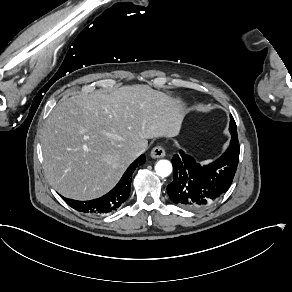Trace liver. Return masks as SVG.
<instances>
[{"label":"liver","mask_w":292,"mask_h":292,"mask_svg":"<svg viewBox=\"0 0 292 292\" xmlns=\"http://www.w3.org/2000/svg\"><path fill=\"white\" fill-rule=\"evenodd\" d=\"M179 101L148 85L61 99L41 135L45 175L61 195L91 200L109 192L147 139L178 135Z\"/></svg>","instance_id":"obj_1"}]
</instances>
